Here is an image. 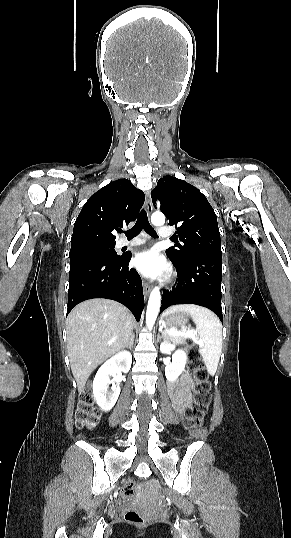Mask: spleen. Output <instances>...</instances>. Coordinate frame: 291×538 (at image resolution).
Here are the masks:
<instances>
[{
    "mask_svg": "<svg viewBox=\"0 0 291 538\" xmlns=\"http://www.w3.org/2000/svg\"><path fill=\"white\" fill-rule=\"evenodd\" d=\"M174 312H186L190 314L196 324V331L203 345L200 353L210 375L216 373L220 354L222 351V325L215 314L193 304L174 305L165 310L164 315Z\"/></svg>",
    "mask_w": 291,
    "mask_h": 538,
    "instance_id": "3e777b00",
    "label": "spleen"
}]
</instances>
